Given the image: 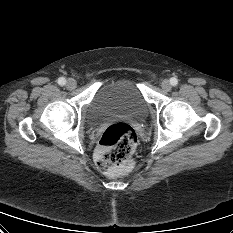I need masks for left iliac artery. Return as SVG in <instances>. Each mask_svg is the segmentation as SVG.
<instances>
[{
  "label": "left iliac artery",
  "mask_w": 233,
  "mask_h": 233,
  "mask_svg": "<svg viewBox=\"0 0 233 233\" xmlns=\"http://www.w3.org/2000/svg\"><path fill=\"white\" fill-rule=\"evenodd\" d=\"M170 83H171V85L176 86L178 84L177 78H175V77L171 78Z\"/></svg>",
  "instance_id": "44dca946"
}]
</instances>
